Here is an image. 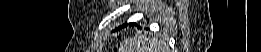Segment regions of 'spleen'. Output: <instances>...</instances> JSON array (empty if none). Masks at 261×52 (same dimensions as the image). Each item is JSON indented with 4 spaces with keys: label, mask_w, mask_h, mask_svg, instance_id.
<instances>
[{
    "label": "spleen",
    "mask_w": 261,
    "mask_h": 52,
    "mask_svg": "<svg viewBox=\"0 0 261 52\" xmlns=\"http://www.w3.org/2000/svg\"><path fill=\"white\" fill-rule=\"evenodd\" d=\"M160 49H162V47L156 48V49H155V52H157V50H159L158 52H160ZM145 52H148V51H145ZM149 52H151V51H149ZM152 52H153V51H152Z\"/></svg>",
    "instance_id": "spleen-1"
}]
</instances>
